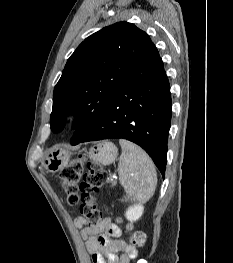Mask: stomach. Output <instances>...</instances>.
<instances>
[{
    "label": "stomach",
    "mask_w": 233,
    "mask_h": 263,
    "mask_svg": "<svg viewBox=\"0 0 233 263\" xmlns=\"http://www.w3.org/2000/svg\"><path fill=\"white\" fill-rule=\"evenodd\" d=\"M118 155L117 147L111 142H101L92 147L88 156L91 160L103 165H109L115 161ZM70 154L60 147H53L46 152L42 165L50 172L62 170L69 161Z\"/></svg>",
    "instance_id": "stomach-1"
}]
</instances>
